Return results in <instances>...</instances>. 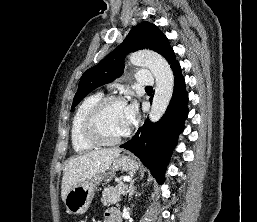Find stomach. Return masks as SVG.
Segmentation results:
<instances>
[{
    "label": "stomach",
    "instance_id": "0dacf381",
    "mask_svg": "<svg viewBox=\"0 0 257 222\" xmlns=\"http://www.w3.org/2000/svg\"><path fill=\"white\" fill-rule=\"evenodd\" d=\"M138 169V163L126 155L116 157L110 166L103 172L86 179L73 187L66 195L65 206L70 214H84L93 199V195L97 185L107 175L106 171L115 172L122 170L126 172H134Z\"/></svg>",
    "mask_w": 257,
    "mask_h": 222
}]
</instances>
